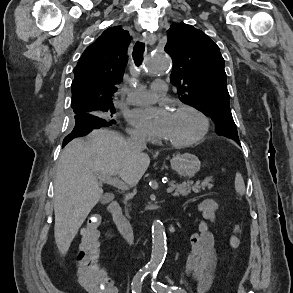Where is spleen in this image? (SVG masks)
<instances>
[{"mask_svg": "<svg viewBox=\"0 0 293 293\" xmlns=\"http://www.w3.org/2000/svg\"><path fill=\"white\" fill-rule=\"evenodd\" d=\"M235 190L241 196L245 194L244 180L239 172H237L235 176Z\"/></svg>", "mask_w": 293, "mask_h": 293, "instance_id": "3e777b00", "label": "spleen"}]
</instances>
